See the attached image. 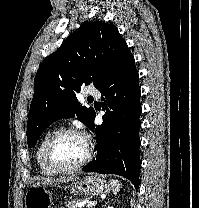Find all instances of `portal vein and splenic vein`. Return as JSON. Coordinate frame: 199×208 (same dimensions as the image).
I'll list each match as a JSON object with an SVG mask.
<instances>
[{
	"mask_svg": "<svg viewBox=\"0 0 199 208\" xmlns=\"http://www.w3.org/2000/svg\"><path fill=\"white\" fill-rule=\"evenodd\" d=\"M95 205H96V202H90V203L87 204V207L91 208V207H94ZM82 206H84V203L79 204V207H82Z\"/></svg>",
	"mask_w": 199,
	"mask_h": 208,
	"instance_id": "1",
	"label": "portal vein and splenic vein"
}]
</instances>
